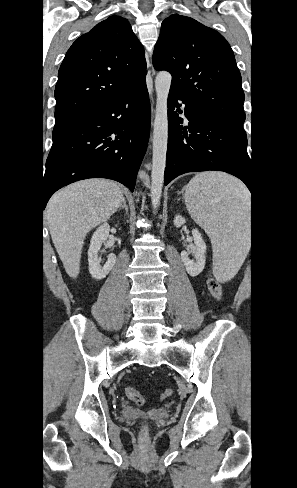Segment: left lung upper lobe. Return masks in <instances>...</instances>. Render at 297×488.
<instances>
[{
  "mask_svg": "<svg viewBox=\"0 0 297 488\" xmlns=\"http://www.w3.org/2000/svg\"><path fill=\"white\" fill-rule=\"evenodd\" d=\"M172 75L170 91L196 110L243 129L244 92L234 53L216 30L178 14L166 18L153 53Z\"/></svg>",
  "mask_w": 297,
  "mask_h": 488,
  "instance_id": "1",
  "label": "left lung upper lobe"
}]
</instances>
